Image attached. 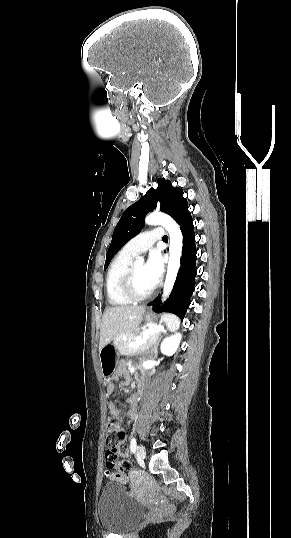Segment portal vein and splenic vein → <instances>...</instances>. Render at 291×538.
Listing matches in <instances>:
<instances>
[{
	"label": "portal vein and splenic vein",
	"instance_id": "obj_1",
	"mask_svg": "<svg viewBox=\"0 0 291 538\" xmlns=\"http://www.w3.org/2000/svg\"><path fill=\"white\" fill-rule=\"evenodd\" d=\"M159 332V328L157 326H151L148 330H146L143 334V336H139L135 339V341L129 342V347H138L143 345L147 342L148 336L153 333Z\"/></svg>",
	"mask_w": 291,
	"mask_h": 538
}]
</instances>
